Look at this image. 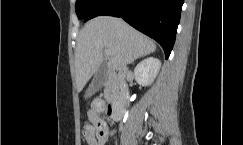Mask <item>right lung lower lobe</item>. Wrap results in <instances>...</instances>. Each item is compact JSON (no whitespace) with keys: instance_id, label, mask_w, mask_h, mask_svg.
<instances>
[{"instance_id":"right-lung-lower-lobe-1","label":"right lung lower lobe","mask_w":243,"mask_h":145,"mask_svg":"<svg viewBox=\"0 0 243 145\" xmlns=\"http://www.w3.org/2000/svg\"><path fill=\"white\" fill-rule=\"evenodd\" d=\"M184 0H99L85 15L84 21L96 16L121 17L131 26L155 39L171 53Z\"/></svg>"}]
</instances>
